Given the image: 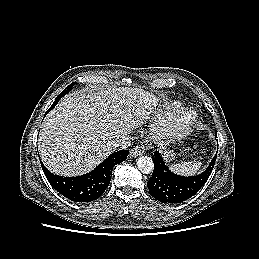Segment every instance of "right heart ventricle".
<instances>
[{"mask_svg": "<svg viewBox=\"0 0 259 259\" xmlns=\"http://www.w3.org/2000/svg\"><path fill=\"white\" fill-rule=\"evenodd\" d=\"M181 106H182V103H181V102H171V103L168 105V109H170V110H175V109H179Z\"/></svg>", "mask_w": 259, "mask_h": 259, "instance_id": "e07e8e85", "label": "right heart ventricle"}]
</instances>
